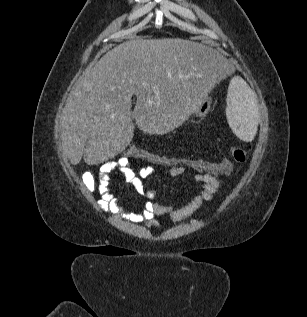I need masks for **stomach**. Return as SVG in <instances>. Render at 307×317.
<instances>
[{
	"instance_id": "1",
	"label": "stomach",
	"mask_w": 307,
	"mask_h": 317,
	"mask_svg": "<svg viewBox=\"0 0 307 317\" xmlns=\"http://www.w3.org/2000/svg\"><path fill=\"white\" fill-rule=\"evenodd\" d=\"M211 98L208 96H203L200 97L196 102H195V107L193 110L192 114H196V115H204L206 114L211 106Z\"/></svg>"
}]
</instances>
